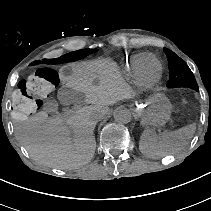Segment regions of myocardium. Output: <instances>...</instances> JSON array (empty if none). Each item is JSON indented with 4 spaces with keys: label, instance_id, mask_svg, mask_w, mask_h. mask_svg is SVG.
Listing matches in <instances>:
<instances>
[{
    "label": "myocardium",
    "instance_id": "obj_1",
    "mask_svg": "<svg viewBox=\"0 0 211 211\" xmlns=\"http://www.w3.org/2000/svg\"><path fill=\"white\" fill-rule=\"evenodd\" d=\"M153 83H154V79L153 78H149L147 83H146V86H151V85H153Z\"/></svg>",
    "mask_w": 211,
    "mask_h": 211
}]
</instances>
